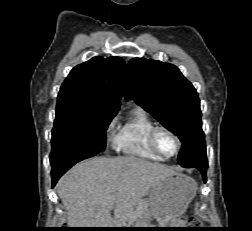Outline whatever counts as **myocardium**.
I'll list each match as a JSON object with an SVG mask.
<instances>
[{"label": "myocardium", "mask_w": 252, "mask_h": 231, "mask_svg": "<svg viewBox=\"0 0 252 231\" xmlns=\"http://www.w3.org/2000/svg\"><path fill=\"white\" fill-rule=\"evenodd\" d=\"M161 131H164V132H167L168 134H170L175 139V141L177 143V147H176L175 152L170 156L163 155L157 146V135ZM148 141H149V146L152 149V151L155 154H157L159 157H161L163 160L172 159L180 152V150L182 148V141H181L180 137L177 135V133L175 131H173L171 128L164 126V125H156L149 133Z\"/></svg>", "instance_id": "f54148a6"}]
</instances>
